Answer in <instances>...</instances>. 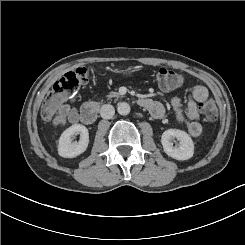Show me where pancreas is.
Here are the masks:
<instances>
[{"instance_id":"1","label":"pancreas","mask_w":245,"mask_h":245,"mask_svg":"<svg viewBox=\"0 0 245 245\" xmlns=\"http://www.w3.org/2000/svg\"><path fill=\"white\" fill-rule=\"evenodd\" d=\"M105 98L112 99V98H123L122 95L119 93H114V92H108L102 99L104 100Z\"/></svg>"}]
</instances>
